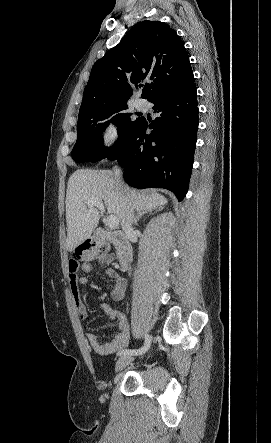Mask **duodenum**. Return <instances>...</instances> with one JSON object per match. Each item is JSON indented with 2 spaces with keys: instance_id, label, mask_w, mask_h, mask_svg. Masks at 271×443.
Masks as SVG:
<instances>
[{
  "instance_id": "duodenum-1",
  "label": "duodenum",
  "mask_w": 271,
  "mask_h": 443,
  "mask_svg": "<svg viewBox=\"0 0 271 443\" xmlns=\"http://www.w3.org/2000/svg\"><path fill=\"white\" fill-rule=\"evenodd\" d=\"M95 237L117 247L119 265L122 269L130 265L133 260V247L123 233L99 228L95 231Z\"/></svg>"
}]
</instances>
